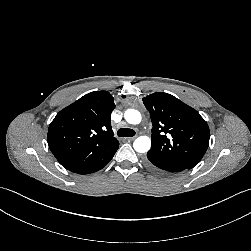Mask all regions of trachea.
Segmentation results:
<instances>
[{
  "instance_id": "1",
  "label": "trachea",
  "mask_w": 251,
  "mask_h": 251,
  "mask_svg": "<svg viewBox=\"0 0 251 251\" xmlns=\"http://www.w3.org/2000/svg\"><path fill=\"white\" fill-rule=\"evenodd\" d=\"M135 134V131L130 128H121L117 131L119 137H133Z\"/></svg>"
}]
</instances>
